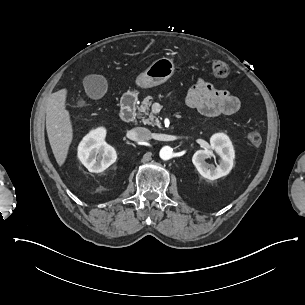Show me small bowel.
Segmentation results:
<instances>
[{
  "mask_svg": "<svg viewBox=\"0 0 305 305\" xmlns=\"http://www.w3.org/2000/svg\"><path fill=\"white\" fill-rule=\"evenodd\" d=\"M186 104L207 117L234 114L240 108L237 97L229 91L215 88L202 78H198L189 89Z\"/></svg>",
  "mask_w": 305,
  "mask_h": 305,
  "instance_id": "c3829d8e",
  "label": "small bowel"
}]
</instances>
